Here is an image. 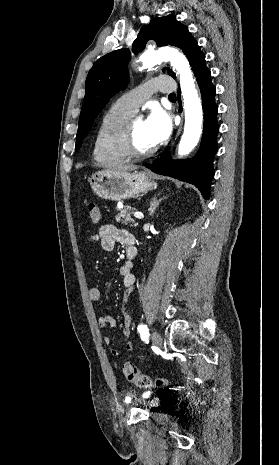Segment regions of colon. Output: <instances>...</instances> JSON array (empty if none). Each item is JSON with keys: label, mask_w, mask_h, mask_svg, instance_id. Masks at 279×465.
<instances>
[{"label": "colon", "mask_w": 279, "mask_h": 465, "mask_svg": "<svg viewBox=\"0 0 279 465\" xmlns=\"http://www.w3.org/2000/svg\"><path fill=\"white\" fill-rule=\"evenodd\" d=\"M88 214L93 223L96 224L100 222L101 210L95 203H90L88 205ZM122 372L128 381L140 388H162L169 384V381L165 378H153L141 373L139 369L130 362H126L122 365Z\"/></svg>", "instance_id": "5ec220e1"}]
</instances>
